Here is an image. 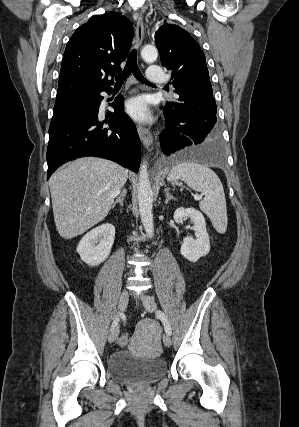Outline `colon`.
I'll list each match as a JSON object with an SVG mask.
<instances>
[{"mask_svg":"<svg viewBox=\"0 0 299 427\" xmlns=\"http://www.w3.org/2000/svg\"><path fill=\"white\" fill-rule=\"evenodd\" d=\"M128 343V336L126 334L122 335L119 339V344L125 346Z\"/></svg>","mask_w":299,"mask_h":427,"instance_id":"5ec220e1","label":"colon"}]
</instances>
